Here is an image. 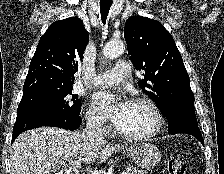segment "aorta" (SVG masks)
<instances>
[{"mask_svg":"<svg viewBox=\"0 0 224 174\" xmlns=\"http://www.w3.org/2000/svg\"><path fill=\"white\" fill-rule=\"evenodd\" d=\"M125 50V45L121 40H111L103 48V55L106 58H116Z\"/></svg>","mask_w":224,"mask_h":174,"instance_id":"1","label":"aorta"}]
</instances>
